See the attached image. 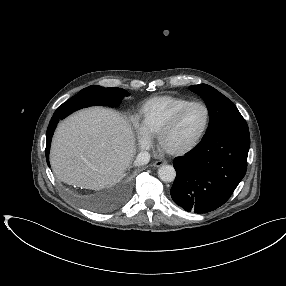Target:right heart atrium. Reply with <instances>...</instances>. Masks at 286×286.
I'll return each mask as SVG.
<instances>
[{
  "label": "right heart atrium",
  "mask_w": 286,
  "mask_h": 286,
  "mask_svg": "<svg viewBox=\"0 0 286 286\" xmlns=\"http://www.w3.org/2000/svg\"><path fill=\"white\" fill-rule=\"evenodd\" d=\"M151 143L150 135H148L142 127L139 129V144L142 148L149 147Z\"/></svg>",
  "instance_id": "d8ad5b80"
}]
</instances>
